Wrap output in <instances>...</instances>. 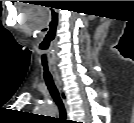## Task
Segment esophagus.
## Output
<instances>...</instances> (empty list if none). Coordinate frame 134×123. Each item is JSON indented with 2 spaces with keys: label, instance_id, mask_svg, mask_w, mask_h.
Segmentation results:
<instances>
[{
  "label": "esophagus",
  "instance_id": "obj_1",
  "mask_svg": "<svg viewBox=\"0 0 134 123\" xmlns=\"http://www.w3.org/2000/svg\"><path fill=\"white\" fill-rule=\"evenodd\" d=\"M51 71L53 73V78H54L55 84L59 90L60 97L64 103L65 109L68 111L67 95H66V92L64 90V86H63V82L61 80V77H60L58 71L56 70V68H51Z\"/></svg>",
  "mask_w": 134,
  "mask_h": 123
}]
</instances>
